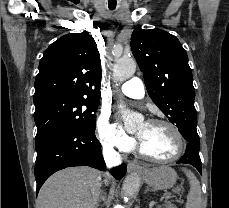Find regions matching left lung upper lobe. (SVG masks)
I'll use <instances>...</instances> for the list:
<instances>
[{"mask_svg": "<svg viewBox=\"0 0 229 208\" xmlns=\"http://www.w3.org/2000/svg\"><path fill=\"white\" fill-rule=\"evenodd\" d=\"M131 50L153 102L180 133L196 129L193 76L179 40L161 29L137 28L131 36Z\"/></svg>", "mask_w": 229, "mask_h": 208, "instance_id": "1", "label": "left lung upper lobe"}]
</instances>
